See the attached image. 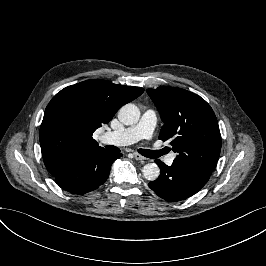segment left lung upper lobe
<instances>
[{
  "label": "left lung upper lobe",
  "instance_id": "obj_1",
  "mask_svg": "<svg viewBox=\"0 0 266 266\" xmlns=\"http://www.w3.org/2000/svg\"><path fill=\"white\" fill-rule=\"evenodd\" d=\"M164 125L159 139H171L176 162L212 173L219 159L221 136L216 116L200 96L175 87L147 89Z\"/></svg>",
  "mask_w": 266,
  "mask_h": 266
}]
</instances>
